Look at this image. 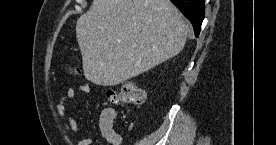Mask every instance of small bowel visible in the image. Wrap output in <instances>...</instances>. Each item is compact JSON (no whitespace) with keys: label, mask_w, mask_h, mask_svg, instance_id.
Listing matches in <instances>:
<instances>
[{"label":"small bowel","mask_w":276,"mask_h":145,"mask_svg":"<svg viewBox=\"0 0 276 145\" xmlns=\"http://www.w3.org/2000/svg\"><path fill=\"white\" fill-rule=\"evenodd\" d=\"M81 94H87L90 92V86L88 84H82L79 86L78 90ZM75 89H69L65 95L59 98L56 105L57 114L63 123L67 131H79V125L71 112H67L66 103L71 102L75 99L77 95ZM115 115L111 110H104L100 114L99 118V128L102 136L111 145H121L122 137L114 129ZM93 140L91 138H84L78 142V145H92Z\"/></svg>","instance_id":"small-bowel-1"}]
</instances>
